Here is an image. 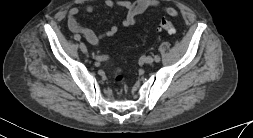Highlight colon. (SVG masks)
<instances>
[{
	"mask_svg": "<svg viewBox=\"0 0 253 138\" xmlns=\"http://www.w3.org/2000/svg\"><path fill=\"white\" fill-rule=\"evenodd\" d=\"M159 28L162 31H164V32H166L168 34L175 33V26H174V24L171 21L167 20V19H161L159 21ZM114 79H115V81L117 83L121 84L125 80V75H124V73L121 70H118L116 72V74H115Z\"/></svg>",
	"mask_w": 253,
	"mask_h": 138,
	"instance_id": "colon-1",
	"label": "colon"
}]
</instances>
